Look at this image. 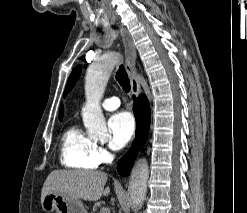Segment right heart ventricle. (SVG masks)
Returning a JSON list of instances; mask_svg holds the SVG:
<instances>
[{"instance_id":"1","label":"right heart ventricle","mask_w":247,"mask_h":213,"mask_svg":"<svg viewBox=\"0 0 247 213\" xmlns=\"http://www.w3.org/2000/svg\"><path fill=\"white\" fill-rule=\"evenodd\" d=\"M95 142L77 126L70 125L62 134L60 160L70 168L95 169Z\"/></svg>"}]
</instances>
